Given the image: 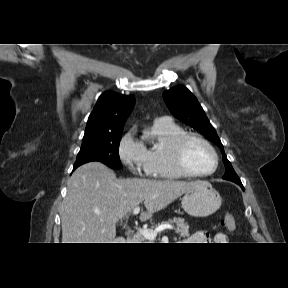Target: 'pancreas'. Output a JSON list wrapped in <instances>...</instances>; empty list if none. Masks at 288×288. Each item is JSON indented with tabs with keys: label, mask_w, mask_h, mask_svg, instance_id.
I'll return each instance as SVG.
<instances>
[{
	"label": "pancreas",
	"mask_w": 288,
	"mask_h": 288,
	"mask_svg": "<svg viewBox=\"0 0 288 288\" xmlns=\"http://www.w3.org/2000/svg\"><path fill=\"white\" fill-rule=\"evenodd\" d=\"M167 224H175L176 225V233H178L181 237H189V226L185 223L183 218H173L169 219ZM155 226L151 227V230L154 229ZM134 243H146L147 239L140 233H137L134 237Z\"/></svg>",
	"instance_id": "1"
}]
</instances>
